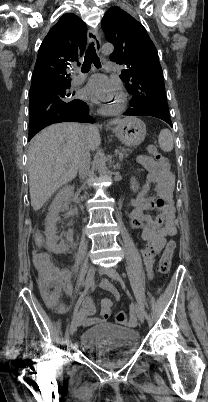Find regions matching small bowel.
I'll list each match as a JSON object with an SVG mask.
<instances>
[{
    "label": "small bowel",
    "mask_w": 208,
    "mask_h": 402,
    "mask_svg": "<svg viewBox=\"0 0 208 402\" xmlns=\"http://www.w3.org/2000/svg\"><path fill=\"white\" fill-rule=\"evenodd\" d=\"M139 163L147 170V176L140 191L139 198L133 200L127 211L129 224L132 228L142 230V240L145 248L141 255L145 261L148 277H152L154 256L164 245L168 236L177 233L175 224V210L173 204V188L175 176L168 163L160 162L150 156H141ZM150 185H154V195L147 197L146 193ZM151 212H155L152 215ZM45 256V255H41ZM63 288L72 293V278L67 270H62ZM69 275V276H68ZM101 288L113 295L115 300H120L117 288L107 279L101 282ZM47 303L52 302L58 295H43ZM83 308L78 310L75 320L81 330H89L91 325L98 321L91 315L93 306L88 299H82ZM112 301L103 299L101 302V318L107 320L110 317Z\"/></svg>",
    "instance_id": "small-bowel-1"
}]
</instances>
